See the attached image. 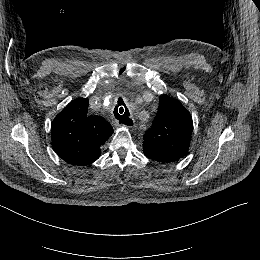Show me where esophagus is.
Instances as JSON below:
<instances>
[{"label": "esophagus", "mask_w": 260, "mask_h": 260, "mask_svg": "<svg viewBox=\"0 0 260 260\" xmlns=\"http://www.w3.org/2000/svg\"><path fill=\"white\" fill-rule=\"evenodd\" d=\"M134 125H135V121L132 117L130 118V120H128L126 122V124H123V126L126 127V128H133Z\"/></svg>", "instance_id": "esophagus-1"}]
</instances>
